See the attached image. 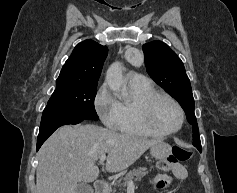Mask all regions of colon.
Returning <instances> with one entry per match:
<instances>
[{
  "label": "colon",
  "mask_w": 237,
  "mask_h": 193,
  "mask_svg": "<svg viewBox=\"0 0 237 193\" xmlns=\"http://www.w3.org/2000/svg\"><path fill=\"white\" fill-rule=\"evenodd\" d=\"M192 152L184 147L175 146L168 158L160 162V169L163 171H171L180 163H184L190 159Z\"/></svg>",
  "instance_id": "1"
}]
</instances>
